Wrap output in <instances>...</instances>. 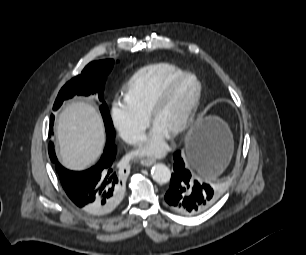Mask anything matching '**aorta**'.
<instances>
[{
  "instance_id": "762f6f07",
  "label": "aorta",
  "mask_w": 306,
  "mask_h": 255,
  "mask_svg": "<svg viewBox=\"0 0 306 255\" xmlns=\"http://www.w3.org/2000/svg\"><path fill=\"white\" fill-rule=\"evenodd\" d=\"M151 175L155 182L166 184L170 181L171 171L165 164L158 163L152 167Z\"/></svg>"
}]
</instances>
